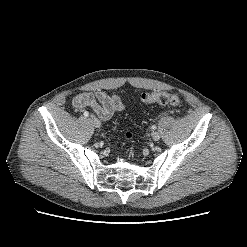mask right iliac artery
Wrapping results in <instances>:
<instances>
[{
    "label": "right iliac artery",
    "instance_id": "right-iliac-artery-1",
    "mask_svg": "<svg viewBox=\"0 0 247 247\" xmlns=\"http://www.w3.org/2000/svg\"><path fill=\"white\" fill-rule=\"evenodd\" d=\"M85 117H88L89 116V113L87 111L84 112L83 114Z\"/></svg>",
    "mask_w": 247,
    "mask_h": 247
}]
</instances>
